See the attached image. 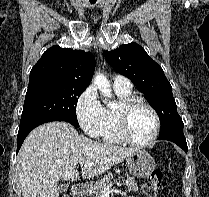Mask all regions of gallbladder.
<instances>
[{
  "label": "gallbladder",
  "instance_id": "gallbladder-1",
  "mask_svg": "<svg viewBox=\"0 0 209 197\" xmlns=\"http://www.w3.org/2000/svg\"><path fill=\"white\" fill-rule=\"evenodd\" d=\"M59 188H60V191H65V190H67L68 185L64 183V184H61V185L59 186Z\"/></svg>",
  "mask_w": 209,
  "mask_h": 197
}]
</instances>
